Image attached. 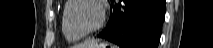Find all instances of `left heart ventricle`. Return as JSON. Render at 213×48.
<instances>
[{
	"mask_svg": "<svg viewBox=\"0 0 213 48\" xmlns=\"http://www.w3.org/2000/svg\"><path fill=\"white\" fill-rule=\"evenodd\" d=\"M69 19L75 29L87 31L97 25L100 19V11L95 4L88 1H80L74 4L69 14Z\"/></svg>",
	"mask_w": 213,
	"mask_h": 48,
	"instance_id": "1",
	"label": "left heart ventricle"
}]
</instances>
